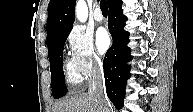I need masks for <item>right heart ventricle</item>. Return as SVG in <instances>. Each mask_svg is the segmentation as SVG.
Instances as JSON below:
<instances>
[{"instance_id":"right-heart-ventricle-1","label":"right heart ventricle","mask_w":193,"mask_h":112,"mask_svg":"<svg viewBox=\"0 0 193 112\" xmlns=\"http://www.w3.org/2000/svg\"><path fill=\"white\" fill-rule=\"evenodd\" d=\"M65 78L70 84H78L81 81V76L73 68L71 62H66L65 67Z\"/></svg>"}]
</instances>
